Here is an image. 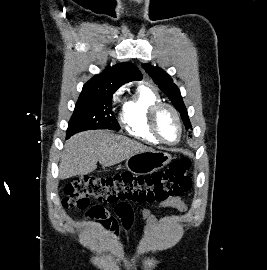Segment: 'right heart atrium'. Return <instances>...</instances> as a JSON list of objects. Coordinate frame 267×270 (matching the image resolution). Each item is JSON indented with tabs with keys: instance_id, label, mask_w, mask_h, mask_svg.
Returning a JSON list of instances; mask_svg holds the SVG:
<instances>
[{
	"instance_id": "obj_1",
	"label": "right heart atrium",
	"mask_w": 267,
	"mask_h": 270,
	"mask_svg": "<svg viewBox=\"0 0 267 270\" xmlns=\"http://www.w3.org/2000/svg\"><path fill=\"white\" fill-rule=\"evenodd\" d=\"M123 92H124V88L121 87L113 94V97H112V104L113 105H116L120 102Z\"/></svg>"
}]
</instances>
